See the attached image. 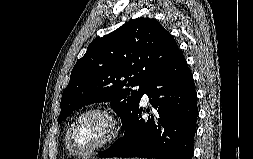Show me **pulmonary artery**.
I'll return each mask as SVG.
<instances>
[{
    "label": "pulmonary artery",
    "mask_w": 253,
    "mask_h": 159,
    "mask_svg": "<svg viewBox=\"0 0 253 159\" xmlns=\"http://www.w3.org/2000/svg\"><path fill=\"white\" fill-rule=\"evenodd\" d=\"M148 101V95L144 94L143 98H142V102L146 103Z\"/></svg>",
    "instance_id": "1"
}]
</instances>
